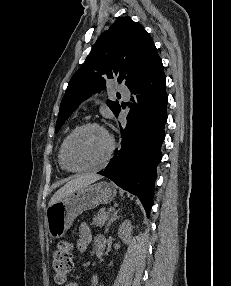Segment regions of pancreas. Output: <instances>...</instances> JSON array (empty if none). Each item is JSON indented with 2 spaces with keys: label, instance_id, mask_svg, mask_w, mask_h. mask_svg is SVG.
Masks as SVG:
<instances>
[{
  "label": "pancreas",
  "instance_id": "1",
  "mask_svg": "<svg viewBox=\"0 0 231 286\" xmlns=\"http://www.w3.org/2000/svg\"><path fill=\"white\" fill-rule=\"evenodd\" d=\"M110 212L105 209H101L96 216L93 217L92 226L102 227L105 222L109 219Z\"/></svg>",
  "mask_w": 231,
  "mask_h": 286
}]
</instances>
